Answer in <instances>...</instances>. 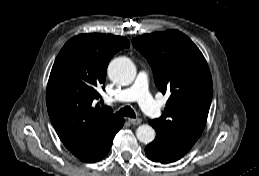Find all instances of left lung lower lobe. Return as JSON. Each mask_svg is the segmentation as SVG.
<instances>
[{
    "mask_svg": "<svg viewBox=\"0 0 259 176\" xmlns=\"http://www.w3.org/2000/svg\"><path fill=\"white\" fill-rule=\"evenodd\" d=\"M149 123L153 126L152 121H149ZM191 147L169 140L163 134L156 133L155 140L146 146L145 153L150 160L166 164L183 157Z\"/></svg>",
    "mask_w": 259,
    "mask_h": 176,
    "instance_id": "1",
    "label": "left lung lower lobe"
}]
</instances>
